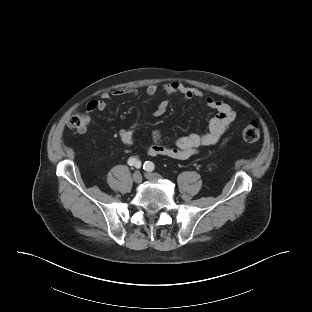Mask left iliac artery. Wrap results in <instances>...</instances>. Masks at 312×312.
Segmentation results:
<instances>
[{
	"label": "left iliac artery",
	"mask_w": 312,
	"mask_h": 312,
	"mask_svg": "<svg viewBox=\"0 0 312 312\" xmlns=\"http://www.w3.org/2000/svg\"><path fill=\"white\" fill-rule=\"evenodd\" d=\"M155 168L154 163L150 161H146L143 165V169L146 171H153Z\"/></svg>",
	"instance_id": "left-iliac-artery-1"
}]
</instances>
